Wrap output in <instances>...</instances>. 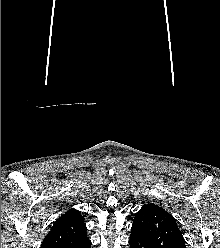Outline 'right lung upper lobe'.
<instances>
[{
	"label": "right lung upper lobe",
	"mask_w": 220,
	"mask_h": 248,
	"mask_svg": "<svg viewBox=\"0 0 220 248\" xmlns=\"http://www.w3.org/2000/svg\"><path fill=\"white\" fill-rule=\"evenodd\" d=\"M86 231L81 212L72 208L54 223L40 248H72L89 240Z\"/></svg>",
	"instance_id": "right-lung-upper-lobe-1"
}]
</instances>
